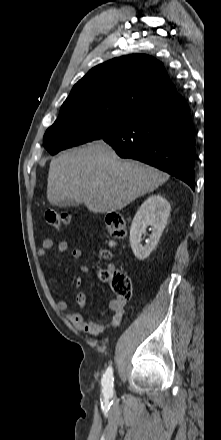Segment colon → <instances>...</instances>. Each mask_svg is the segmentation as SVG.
Listing matches in <instances>:
<instances>
[{
  "label": "colon",
  "instance_id": "colon-1",
  "mask_svg": "<svg viewBox=\"0 0 221 440\" xmlns=\"http://www.w3.org/2000/svg\"><path fill=\"white\" fill-rule=\"evenodd\" d=\"M45 222L60 229L68 225L70 217L67 213H59L55 210H47L44 214ZM106 228L111 237V243L126 235V223L124 217L118 212H110L106 216ZM105 258H110V253L103 252ZM102 279L108 281L117 298L130 299L133 294L132 281L129 275L119 270L103 269L100 272Z\"/></svg>",
  "mask_w": 221,
  "mask_h": 440
}]
</instances>
